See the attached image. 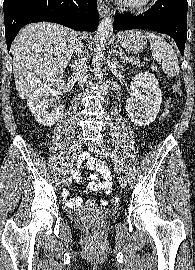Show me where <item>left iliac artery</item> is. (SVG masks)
Returning <instances> with one entry per match:
<instances>
[{
  "mask_svg": "<svg viewBox=\"0 0 195 270\" xmlns=\"http://www.w3.org/2000/svg\"><path fill=\"white\" fill-rule=\"evenodd\" d=\"M107 152H108V155H110V157L112 158V160L114 161L115 163V166L121 171V168H120V162L119 160L115 157L114 153L111 151V149L109 148H106Z\"/></svg>",
  "mask_w": 195,
  "mask_h": 270,
  "instance_id": "44dca946",
  "label": "left iliac artery"
}]
</instances>
